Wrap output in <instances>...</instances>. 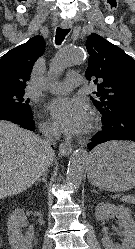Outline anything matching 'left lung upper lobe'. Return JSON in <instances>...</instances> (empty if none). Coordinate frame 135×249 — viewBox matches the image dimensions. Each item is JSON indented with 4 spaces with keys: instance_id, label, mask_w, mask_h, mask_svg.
<instances>
[{
    "instance_id": "5c2ea615",
    "label": "left lung upper lobe",
    "mask_w": 135,
    "mask_h": 249,
    "mask_svg": "<svg viewBox=\"0 0 135 249\" xmlns=\"http://www.w3.org/2000/svg\"><path fill=\"white\" fill-rule=\"evenodd\" d=\"M86 48L90 57L85 76L97 84L91 100L102 116L121 106H135V60L95 33L87 38Z\"/></svg>"
}]
</instances>
